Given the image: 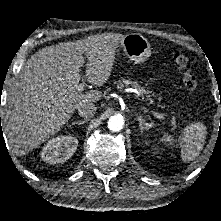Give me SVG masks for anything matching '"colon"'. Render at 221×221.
I'll return each mask as SVG.
<instances>
[{
	"label": "colon",
	"instance_id": "5ec220e1",
	"mask_svg": "<svg viewBox=\"0 0 221 221\" xmlns=\"http://www.w3.org/2000/svg\"><path fill=\"white\" fill-rule=\"evenodd\" d=\"M174 63L183 77V81L187 89L195 93L198 89V80L191 72V65L186 55L176 53L173 57Z\"/></svg>",
	"mask_w": 221,
	"mask_h": 221
}]
</instances>
